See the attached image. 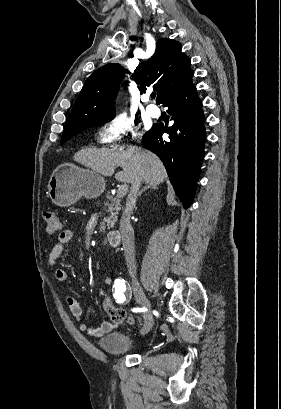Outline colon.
Masks as SVG:
<instances>
[{"label": "colon", "instance_id": "colon-1", "mask_svg": "<svg viewBox=\"0 0 281 409\" xmlns=\"http://www.w3.org/2000/svg\"><path fill=\"white\" fill-rule=\"evenodd\" d=\"M44 219L47 223V231L49 233H63L65 230L64 223L60 218L59 214L54 211L47 209L44 211ZM123 312V313H122ZM109 315L113 321L119 324H131L132 319L126 315V312L121 306H112L109 309Z\"/></svg>", "mask_w": 281, "mask_h": 409}]
</instances>
